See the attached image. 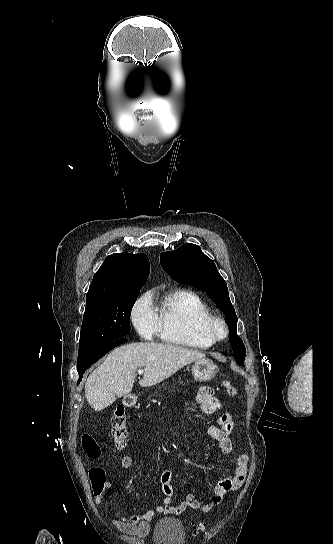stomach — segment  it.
Here are the masks:
<instances>
[{
	"instance_id": "obj_1",
	"label": "stomach",
	"mask_w": 333,
	"mask_h": 544,
	"mask_svg": "<svg viewBox=\"0 0 333 544\" xmlns=\"http://www.w3.org/2000/svg\"><path fill=\"white\" fill-rule=\"evenodd\" d=\"M217 372V366L213 361L203 358L197 360L192 366V374L196 380L209 381Z\"/></svg>"
}]
</instances>
